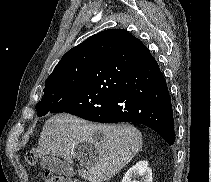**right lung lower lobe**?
I'll return each mask as SVG.
<instances>
[{
  "mask_svg": "<svg viewBox=\"0 0 211 182\" xmlns=\"http://www.w3.org/2000/svg\"><path fill=\"white\" fill-rule=\"evenodd\" d=\"M59 112L94 122L143 124L169 145L175 141L165 78L143 43L120 29L98 34L83 81L53 113Z\"/></svg>",
  "mask_w": 211,
  "mask_h": 182,
  "instance_id": "98d812e1",
  "label": "right lung lower lobe"
}]
</instances>
